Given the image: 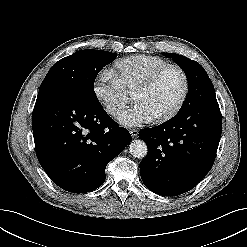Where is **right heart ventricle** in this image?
Listing matches in <instances>:
<instances>
[{
    "label": "right heart ventricle",
    "instance_id": "right-heart-ventricle-1",
    "mask_svg": "<svg viewBox=\"0 0 247 247\" xmlns=\"http://www.w3.org/2000/svg\"><path fill=\"white\" fill-rule=\"evenodd\" d=\"M168 62L157 56L134 55L117 61L112 72L126 92H132L136 85L154 70Z\"/></svg>",
    "mask_w": 247,
    "mask_h": 247
}]
</instances>
